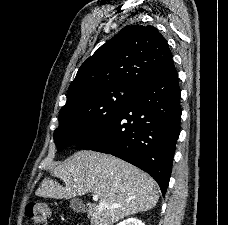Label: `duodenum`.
<instances>
[{
	"label": "duodenum",
	"instance_id": "410a0bca",
	"mask_svg": "<svg viewBox=\"0 0 228 225\" xmlns=\"http://www.w3.org/2000/svg\"><path fill=\"white\" fill-rule=\"evenodd\" d=\"M80 225H84V223H80Z\"/></svg>",
	"mask_w": 228,
	"mask_h": 225
}]
</instances>
